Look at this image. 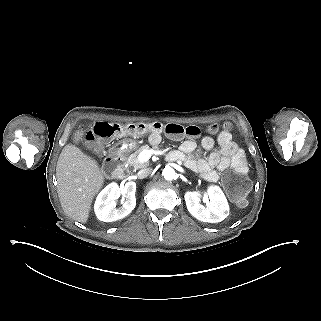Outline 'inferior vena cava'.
<instances>
[{"mask_svg":"<svg viewBox=\"0 0 321 321\" xmlns=\"http://www.w3.org/2000/svg\"><path fill=\"white\" fill-rule=\"evenodd\" d=\"M151 173H152V168H144L137 173V177L139 179H144L148 177Z\"/></svg>","mask_w":321,"mask_h":321,"instance_id":"inferior-vena-cava-1","label":"inferior vena cava"}]
</instances>
